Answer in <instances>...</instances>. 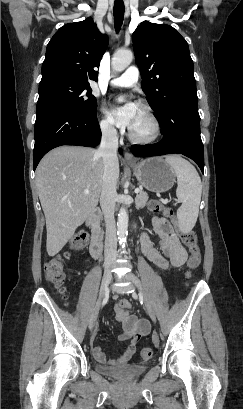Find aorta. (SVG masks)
<instances>
[{
  "mask_svg": "<svg viewBox=\"0 0 243 409\" xmlns=\"http://www.w3.org/2000/svg\"><path fill=\"white\" fill-rule=\"evenodd\" d=\"M133 60V53L130 50H119L112 58V69L115 72H121L127 68ZM123 98H119V102H123ZM128 229V212L126 208L121 207L117 221V235L120 244L126 241Z\"/></svg>",
  "mask_w": 243,
  "mask_h": 409,
  "instance_id": "aorta-1",
  "label": "aorta"
}]
</instances>
